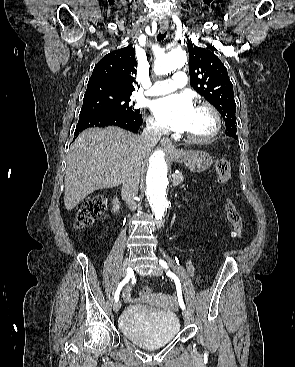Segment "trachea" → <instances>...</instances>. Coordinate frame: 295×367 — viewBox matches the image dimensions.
Returning <instances> with one entry per match:
<instances>
[{
    "label": "trachea",
    "instance_id": "trachea-1",
    "mask_svg": "<svg viewBox=\"0 0 295 367\" xmlns=\"http://www.w3.org/2000/svg\"><path fill=\"white\" fill-rule=\"evenodd\" d=\"M166 32H164V33H159V35L157 36V40L158 41H161V40H163L165 37H166Z\"/></svg>",
    "mask_w": 295,
    "mask_h": 367
}]
</instances>
